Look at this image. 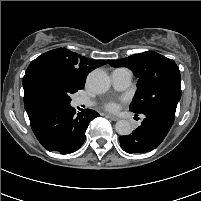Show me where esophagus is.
<instances>
[{"label":"esophagus","instance_id":"esophagus-1","mask_svg":"<svg viewBox=\"0 0 201 201\" xmlns=\"http://www.w3.org/2000/svg\"><path fill=\"white\" fill-rule=\"evenodd\" d=\"M106 117L112 121H118L119 120V117L114 116V115H110V114L106 115Z\"/></svg>","mask_w":201,"mask_h":201}]
</instances>
